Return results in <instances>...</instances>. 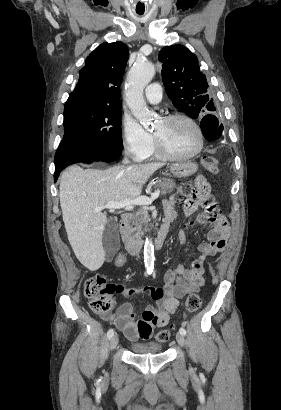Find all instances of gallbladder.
<instances>
[{"label": "gallbladder", "instance_id": "bac80fb5", "mask_svg": "<svg viewBox=\"0 0 281 410\" xmlns=\"http://www.w3.org/2000/svg\"><path fill=\"white\" fill-rule=\"evenodd\" d=\"M102 244L106 260L112 261L120 248L119 228L117 221L113 218H110L104 227Z\"/></svg>", "mask_w": 281, "mask_h": 410}]
</instances>
